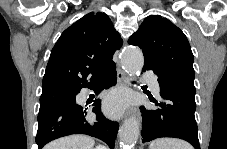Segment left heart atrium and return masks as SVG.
I'll list each match as a JSON object with an SVG mask.
<instances>
[{
    "instance_id": "left-heart-atrium-1",
    "label": "left heart atrium",
    "mask_w": 227,
    "mask_h": 149,
    "mask_svg": "<svg viewBox=\"0 0 227 149\" xmlns=\"http://www.w3.org/2000/svg\"><path fill=\"white\" fill-rule=\"evenodd\" d=\"M125 105L124 98L119 94H113L106 100V110L111 115H118Z\"/></svg>"
}]
</instances>
